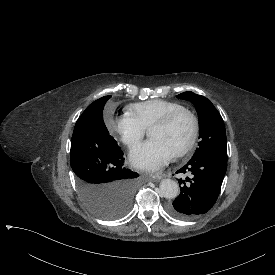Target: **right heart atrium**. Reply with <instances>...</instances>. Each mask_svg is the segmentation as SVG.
<instances>
[{
	"mask_svg": "<svg viewBox=\"0 0 275 275\" xmlns=\"http://www.w3.org/2000/svg\"><path fill=\"white\" fill-rule=\"evenodd\" d=\"M111 130L129 151L135 150L140 145L146 133V129L130 115L114 119Z\"/></svg>",
	"mask_w": 275,
	"mask_h": 275,
	"instance_id": "obj_1",
	"label": "right heart atrium"
}]
</instances>
